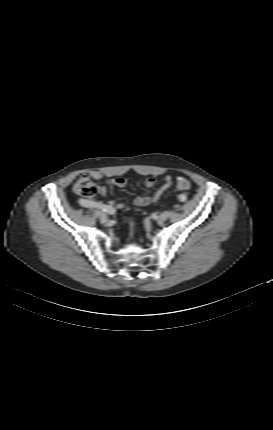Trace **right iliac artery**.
I'll use <instances>...</instances> for the list:
<instances>
[{
    "label": "right iliac artery",
    "mask_w": 273,
    "mask_h": 430,
    "mask_svg": "<svg viewBox=\"0 0 273 430\" xmlns=\"http://www.w3.org/2000/svg\"><path fill=\"white\" fill-rule=\"evenodd\" d=\"M94 208L101 209L102 211H104L108 214H114L115 213V209L108 206V205L95 206Z\"/></svg>",
    "instance_id": "obj_1"
}]
</instances>
